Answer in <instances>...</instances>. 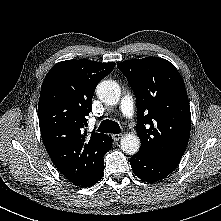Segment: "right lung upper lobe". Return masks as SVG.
<instances>
[{"mask_svg": "<svg viewBox=\"0 0 221 221\" xmlns=\"http://www.w3.org/2000/svg\"><path fill=\"white\" fill-rule=\"evenodd\" d=\"M114 62L67 60L46 75L38 103L45 148L57 169L74 185L87 182L103 164L109 136L84 131L97 84L114 68Z\"/></svg>", "mask_w": 221, "mask_h": 221, "instance_id": "1", "label": "right lung upper lobe"}]
</instances>
